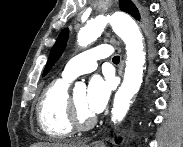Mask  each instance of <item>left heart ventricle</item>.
Returning a JSON list of instances; mask_svg holds the SVG:
<instances>
[{
	"mask_svg": "<svg viewBox=\"0 0 183 147\" xmlns=\"http://www.w3.org/2000/svg\"><path fill=\"white\" fill-rule=\"evenodd\" d=\"M73 100L82 117L89 118L93 116L86 109V94L84 92L74 96Z\"/></svg>",
	"mask_w": 183,
	"mask_h": 147,
	"instance_id": "left-heart-ventricle-1",
	"label": "left heart ventricle"
}]
</instances>
